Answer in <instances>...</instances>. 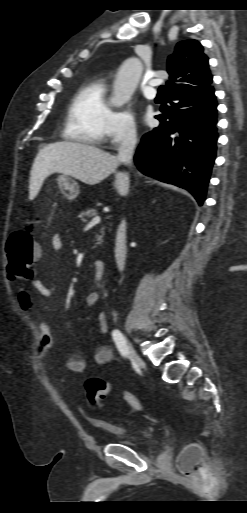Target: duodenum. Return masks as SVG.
Masks as SVG:
<instances>
[{
  "label": "duodenum",
  "mask_w": 247,
  "mask_h": 513,
  "mask_svg": "<svg viewBox=\"0 0 247 513\" xmlns=\"http://www.w3.org/2000/svg\"><path fill=\"white\" fill-rule=\"evenodd\" d=\"M106 273V263L103 260H97L94 263L93 280L94 282H101Z\"/></svg>",
  "instance_id": "obj_1"
}]
</instances>
